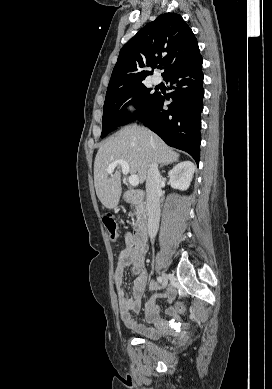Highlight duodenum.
<instances>
[{"mask_svg":"<svg viewBox=\"0 0 272 389\" xmlns=\"http://www.w3.org/2000/svg\"><path fill=\"white\" fill-rule=\"evenodd\" d=\"M146 198L145 191L141 189L129 190L124 193L123 199L126 202H137L143 204ZM149 215L143 211L138 222L135 225L134 231L131 234L132 239L136 243H145L148 238Z\"/></svg>","mask_w":272,"mask_h":389,"instance_id":"obj_1","label":"duodenum"}]
</instances>
